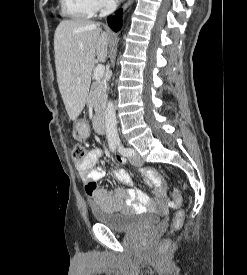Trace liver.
<instances>
[{"label": "liver", "instance_id": "obj_1", "mask_svg": "<svg viewBox=\"0 0 247 275\" xmlns=\"http://www.w3.org/2000/svg\"><path fill=\"white\" fill-rule=\"evenodd\" d=\"M109 33L83 19L59 23L54 34L55 66L59 91L71 120L86 104L95 57L105 62Z\"/></svg>", "mask_w": 247, "mask_h": 275}]
</instances>
